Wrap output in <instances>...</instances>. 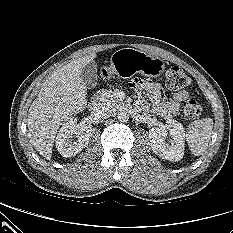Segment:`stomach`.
I'll use <instances>...</instances> for the list:
<instances>
[{
  "instance_id": "1",
  "label": "stomach",
  "mask_w": 233,
  "mask_h": 233,
  "mask_svg": "<svg viewBox=\"0 0 233 233\" xmlns=\"http://www.w3.org/2000/svg\"><path fill=\"white\" fill-rule=\"evenodd\" d=\"M164 69V61L159 57L133 48H123L112 54L108 71L122 77H130L135 73L157 77Z\"/></svg>"
}]
</instances>
